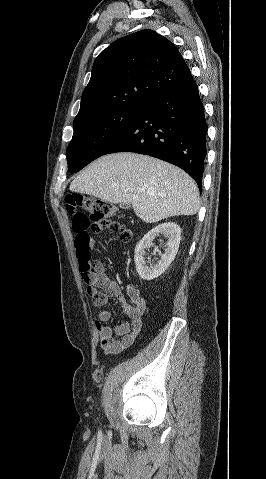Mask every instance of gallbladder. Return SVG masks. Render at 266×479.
<instances>
[{
	"instance_id": "bac80fb5",
	"label": "gallbladder",
	"mask_w": 266,
	"mask_h": 479,
	"mask_svg": "<svg viewBox=\"0 0 266 479\" xmlns=\"http://www.w3.org/2000/svg\"><path fill=\"white\" fill-rule=\"evenodd\" d=\"M123 208H129L130 207V204H126V205H121Z\"/></svg>"
}]
</instances>
